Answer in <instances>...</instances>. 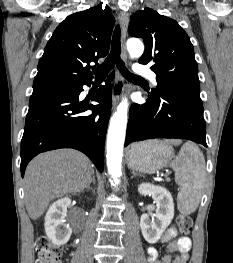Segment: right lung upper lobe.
<instances>
[{"label": "right lung upper lobe", "mask_w": 233, "mask_h": 263, "mask_svg": "<svg viewBox=\"0 0 233 263\" xmlns=\"http://www.w3.org/2000/svg\"><path fill=\"white\" fill-rule=\"evenodd\" d=\"M115 19L96 6L68 16L56 28L38 63L33 83L36 96L92 82L90 62L108 54Z\"/></svg>", "instance_id": "cb5924a9"}]
</instances>
